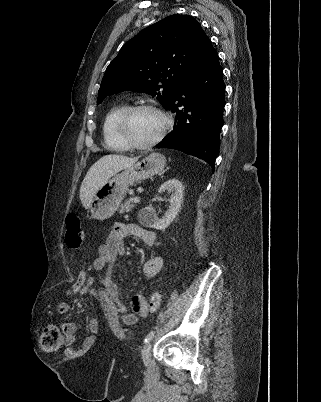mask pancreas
<instances>
[{
    "instance_id": "1",
    "label": "pancreas",
    "mask_w": 321,
    "mask_h": 402,
    "mask_svg": "<svg viewBox=\"0 0 321 402\" xmlns=\"http://www.w3.org/2000/svg\"><path fill=\"white\" fill-rule=\"evenodd\" d=\"M135 207V203L133 199L126 200L119 208V213H128Z\"/></svg>"
}]
</instances>
